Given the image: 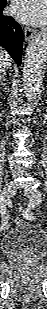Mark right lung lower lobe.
I'll list each match as a JSON object with an SVG mask.
<instances>
[{
  "mask_svg": "<svg viewBox=\"0 0 47 309\" xmlns=\"http://www.w3.org/2000/svg\"><path fill=\"white\" fill-rule=\"evenodd\" d=\"M6 0H0V45L11 55L18 66L21 64L23 31L12 17L2 15Z\"/></svg>",
  "mask_w": 47,
  "mask_h": 309,
  "instance_id": "obj_1",
  "label": "right lung lower lobe"
}]
</instances>
